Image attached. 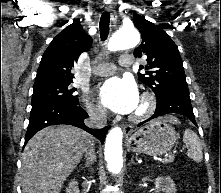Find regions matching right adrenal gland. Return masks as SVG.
Segmentation results:
<instances>
[{
	"instance_id": "obj_1",
	"label": "right adrenal gland",
	"mask_w": 221,
	"mask_h": 193,
	"mask_svg": "<svg viewBox=\"0 0 221 193\" xmlns=\"http://www.w3.org/2000/svg\"><path fill=\"white\" fill-rule=\"evenodd\" d=\"M84 166H85V168H86V167H89L90 164L86 162V163L84 164Z\"/></svg>"
}]
</instances>
